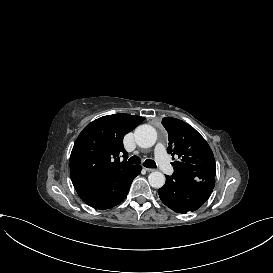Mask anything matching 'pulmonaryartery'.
Returning a JSON list of instances; mask_svg holds the SVG:
<instances>
[{
    "mask_svg": "<svg viewBox=\"0 0 273 273\" xmlns=\"http://www.w3.org/2000/svg\"><path fill=\"white\" fill-rule=\"evenodd\" d=\"M155 151L158 153V162L160 163V166L164 168L166 176L168 178H173L175 176V170L173 169L171 161L168 159L166 148L162 144H157L155 146Z\"/></svg>",
    "mask_w": 273,
    "mask_h": 273,
    "instance_id": "pulmonary-artery-1",
    "label": "pulmonary artery"
}]
</instances>
